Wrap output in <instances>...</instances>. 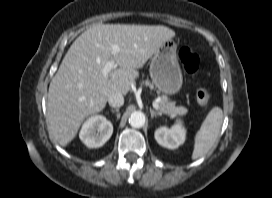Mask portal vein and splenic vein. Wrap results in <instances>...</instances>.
I'll return each instance as SVG.
<instances>
[{"label":"portal vein and splenic vein","mask_w":272,"mask_h":198,"mask_svg":"<svg viewBox=\"0 0 272 198\" xmlns=\"http://www.w3.org/2000/svg\"><path fill=\"white\" fill-rule=\"evenodd\" d=\"M112 51H113L114 53L119 52V51H120L119 46H118V45H113V46H112ZM116 66H117V64H116L114 61H109V62H107L106 65H105L104 68H103V71H102L103 75H104L105 77H107L108 74H109V72H110L111 70L115 69ZM153 107H154L155 110H158V111L160 110V107H159V105H158L157 102H153Z\"/></svg>","instance_id":"18ae733b"}]
</instances>
